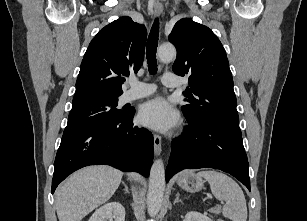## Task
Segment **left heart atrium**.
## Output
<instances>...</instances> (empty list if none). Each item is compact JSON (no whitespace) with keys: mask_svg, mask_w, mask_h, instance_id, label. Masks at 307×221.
Wrapping results in <instances>:
<instances>
[{"mask_svg":"<svg viewBox=\"0 0 307 221\" xmlns=\"http://www.w3.org/2000/svg\"><path fill=\"white\" fill-rule=\"evenodd\" d=\"M138 118L144 126L160 132L171 130L178 122L176 111L161 97L144 103L139 110Z\"/></svg>","mask_w":307,"mask_h":221,"instance_id":"1","label":"left heart atrium"}]
</instances>
